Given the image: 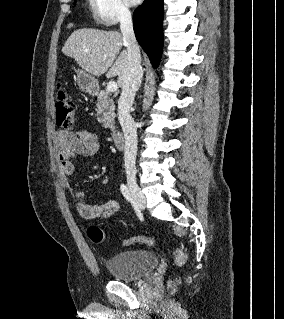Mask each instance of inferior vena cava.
Returning <instances> with one entry per match:
<instances>
[{
	"instance_id": "inferior-vena-cava-1",
	"label": "inferior vena cava",
	"mask_w": 284,
	"mask_h": 319,
	"mask_svg": "<svg viewBox=\"0 0 284 319\" xmlns=\"http://www.w3.org/2000/svg\"><path fill=\"white\" fill-rule=\"evenodd\" d=\"M120 30L128 52V66L123 78L122 92L118 100V119L125 138V169L134 171L137 155V128L130 115L135 94L141 84L143 70L141 54L133 30L131 13L123 8L120 11Z\"/></svg>"
}]
</instances>
